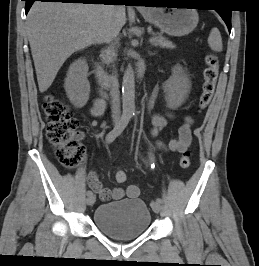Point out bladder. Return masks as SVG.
I'll return each mask as SVG.
<instances>
[{"instance_id":"bladder-1","label":"bladder","mask_w":259,"mask_h":266,"mask_svg":"<svg viewBox=\"0 0 259 266\" xmlns=\"http://www.w3.org/2000/svg\"><path fill=\"white\" fill-rule=\"evenodd\" d=\"M93 222L111 238L131 240L148 230L151 213L143 200L125 199L99 205L93 213Z\"/></svg>"}]
</instances>
